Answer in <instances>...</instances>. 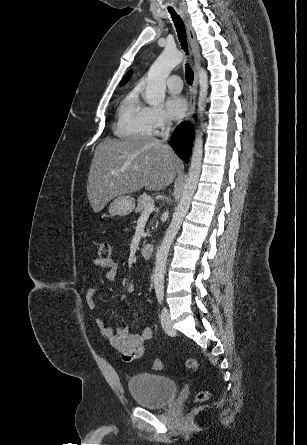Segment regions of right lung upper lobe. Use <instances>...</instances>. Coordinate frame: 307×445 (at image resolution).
Listing matches in <instances>:
<instances>
[{"instance_id": "1", "label": "right lung upper lobe", "mask_w": 307, "mask_h": 445, "mask_svg": "<svg viewBox=\"0 0 307 445\" xmlns=\"http://www.w3.org/2000/svg\"><path fill=\"white\" fill-rule=\"evenodd\" d=\"M130 77H131V73L128 72V73L124 76V78L122 79V81H121L120 84L123 85L124 83H126Z\"/></svg>"}]
</instances>
